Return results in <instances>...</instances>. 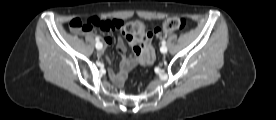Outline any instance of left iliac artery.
I'll return each instance as SVG.
<instances>
[{
	"label": "left iliac artery",
	"instance_id": "left-iliac-artery-1",
	"mask_svg": "<svg viewBox=\"0 0 276 120\" xmlns=\"http://www.w3.org/2000/svg\"><path fill=\"white\" fill-rule=\"evenodd\" d=\"M165 45H166V41L163 40V41H162V46H165Z\"/></svg>",
	"mask_w": 276,
	"mask_h": 120
}]
</instances>
